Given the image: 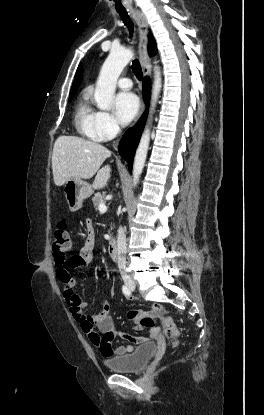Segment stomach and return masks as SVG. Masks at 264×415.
Returning <instances> with one entry per match:
<instances>
[{"label":"stomach","instance_id":"stomach-1","mask_svg":"<svg viewBox=\"0 0 264 415\" xmlns=\"http://www.w3.org/2000/svg\"><path fill=\"white\" fill-rule=\"evenodd\" d=\"M92 193V186L80 179L71 178L64 185V195L69 209L73 212L79 210L83 201Z\"/></svg>","mask_w":264,"mask_h":415}]
</instances>
